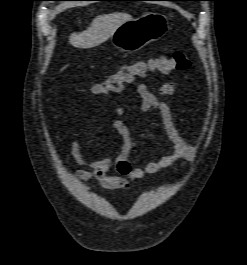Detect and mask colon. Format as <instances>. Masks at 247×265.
I'll use <instances>...</instances> for the list:
<instances>
[{
	"label": "colon",
	"instance_id": "obj_1",
	"mask_svg": "<svg viewBox=\"0 0 247 265\" xmlns=\"http://www.w3.org/2000/svg\"><path fill=\"white\" fill-rule=\"evenodd\" d=\"M190 65V60L182 51L126 63L103 81L94 84L90 88V92L93 96L105 101L110 94L122 91L125 84L131 83L137 78L146 77L153 72L167 74L172 70L185 71Z\"/></svg>",
	"mask_w": 247,
	"mask_h": 265
}]
</instances>
